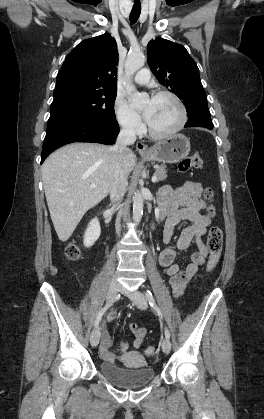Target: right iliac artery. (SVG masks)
<instances>
[{
  "mask_svg": "<svg viewBox=\"0 0 264 419\" xmlns=\"http://www.w3.org/2000/svg\"><path fill=\"white\" fill-rule=\"evenodd\" d=\"M110 306H111V303H110V304H107L106 306H104V307L101 309V311L99 312L98 316L96 317V320H95V323H94V326H95V327H98L99 322H100V320H101L102 316L104 315V313L107 311V309H108Z\"/></svg>",
  "mask_w": 264,
  "mask_h": 419,
  "instance_id": "right-iliac-artery-1",
  "label": "right iliac artery"
}]
</instances>
